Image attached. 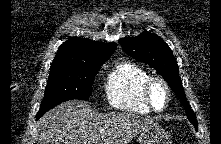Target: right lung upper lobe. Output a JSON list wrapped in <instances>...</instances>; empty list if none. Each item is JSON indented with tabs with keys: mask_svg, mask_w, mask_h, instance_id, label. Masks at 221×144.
I'll list each match as a JSON object with an SVG mask.
<instances>
[{
	"mask_svg": "<svg viewBox=\"0 0 221 144\" xmlns=\"http://www.w3.org/2000/svg\"><path fill=\"white\" fill-rule=\"evenodd\" d=\"M115 49V43H99L74 37L59 47L51 65L104 63Z\"/></svg>",
	"mask_w": 221,
	"mask_h": 144,
	"instance_id": "1",
	"label": "right lung upper lobe"
}]
</instances>
